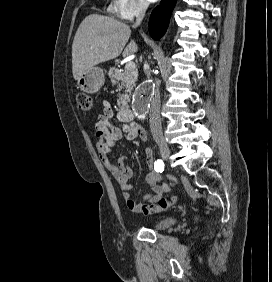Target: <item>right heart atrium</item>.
<instances>
[{
	"instance_id": "right-heart-atrium-1",
	"label": "right heart atrium",
	"mask_w": 272,
	"mask_h": 282,
	"mask_svg": "<svg viewBox=\"0 0 272 282\" xmlns=\"http://www.w3.org/2000/svg\"><path fill=\"white\" fill-rule=\"evenodd\" d=\"M147 0H112L110 13L123 21H132L147 10Z\"/></svg>"
}]
</instances>
